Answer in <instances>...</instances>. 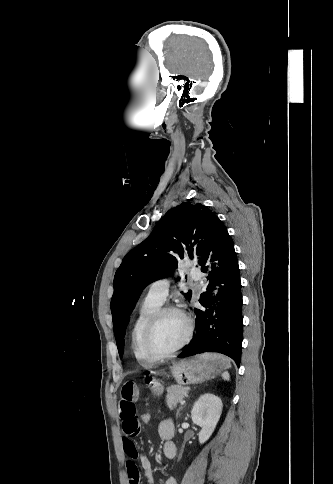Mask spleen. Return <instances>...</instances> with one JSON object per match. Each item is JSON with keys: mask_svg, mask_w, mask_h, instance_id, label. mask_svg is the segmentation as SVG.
<instances>
[{"mask_svg": "<svg viewBox=\"0 0 333 484\" xmlns=\"http://www.w3.org/2000/svg\"><path fill=\"white\" fill-rule=\"evenodd\" d=\"M222 378H223L224 380L229 381V380H230V375H229L227 372H225V373L222 375Z\"/></svg>", "mask_w": 333, "mask_h": 484, "instance_id": "obj_1", "label": "spleen"}]
</instances>
